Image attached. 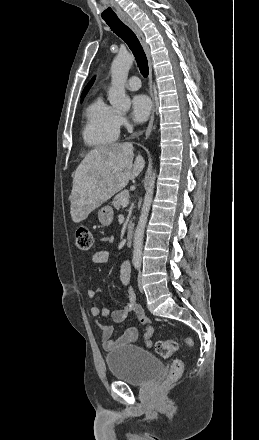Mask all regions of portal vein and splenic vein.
Returning <instances> with one entry per match:
<instances>
[{
    "label": "portal vein and splenic vein",
    "instance_id": "portal-vein-and-splenic-vein-1",
    "mask_svg": "<svg viewBox=\"0 0 259 440\" xmlns=\"http://www.w3.org/2000/svg\"><path fill=\"white\" fill-rule=\"evenodd\" d=\"M129 204V200L127 198L122 200V205L127 206Z\"/></svg>",
    "mask_w": 259,
    "mask_h": 440
}]
</instances>
